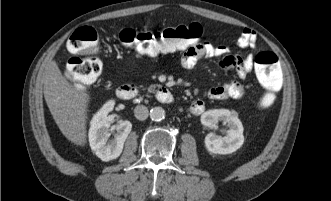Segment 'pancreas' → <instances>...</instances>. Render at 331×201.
<instances>
[{
    "instance_id": "1",
    "label": "pancreas",
    "mask_w": 331,
    "mask_h": 201,
    "mask_svg": "<svg viewBox=\"0 0 331 201\" xmlns=\"http://www.w3.org/2000/svg\"><path fill=\"white\" fill-rule=\"evenodd\" d=\"M154 87H155L154 85H151V86L149 87V89H148L149 92H152Z\"/></svg>"
}]
</instances>
